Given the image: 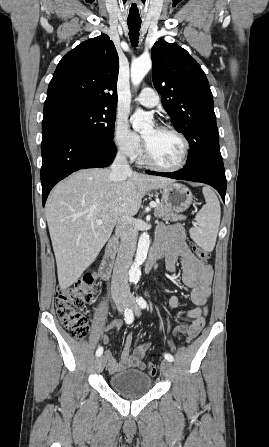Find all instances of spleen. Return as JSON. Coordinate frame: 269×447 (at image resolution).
Instances as JSON below:
<instances>
[{
  "mask_svg": "<svg viewBox=\"0 0 269 447\" xmlns=\"http://www.w3.org/2000/svg\"><path fill=\"white\" fill-rule=\"evenodd\" d=\"M202 192L206 204L196 214L195 220L197 225L191 227L190 237L205 251H212L220 225V202L210 186H205Z\"/></svg>",
  "mask_w": 269,
  "mask_h": 447,
  "instance_id": "3e777b00",
  "label": "spleen"
}]
</instances>
